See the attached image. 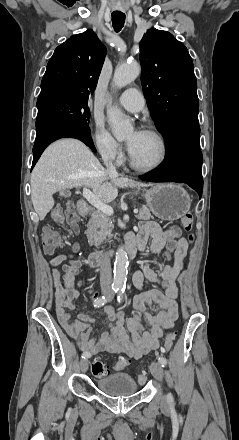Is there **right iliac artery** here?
Here are the masks:
<instances>
[{
	"mask_svg": "<svg viewBox=\"0 0 239 440\" xmlns=\"http://www.w3.org/2000/svg\"><path fill=\"white\" fill-rule=\"evenodd\" d=\"M113 293H117L119 291V287H113L112 288ZM108 298H106L105 296L96 298L94 300V307L99 308L101 306H103L106 302H107ZM91 355L88 352H83L82 354V358H89Z\"/></svg>",
	"mask_w": 239,
	"mask_h": 440,
	"instance_id": "82829eb1",
	"label": "right iliac artery"
}]
</instances>
